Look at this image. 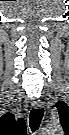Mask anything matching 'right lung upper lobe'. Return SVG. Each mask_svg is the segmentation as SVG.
Wrapping results in <instances>:
<instances>
[{
  "instance_id": "obj_1",
  "label": "right lung upper lobe",
  "mask_w": 69,
  "mask_h": 135,
  "mask_svg": "<svg viewBox=\"0 0 69 135\" xmlns=\"http://www.w3.org/2000/svg\"><path fill=\"white\" fill-rule=\"evenodd\" d=\"M0 125L2 128H7L10 130V132H15L18 135H23L26 133L24 120H15V116L12 113L4 114L0 118Z\"/></svg>"
}]
</instances>
